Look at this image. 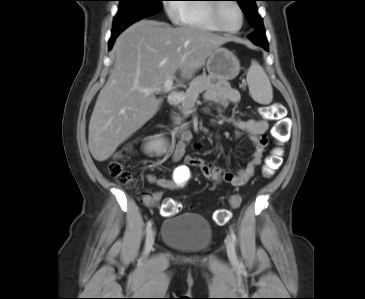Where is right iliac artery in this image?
<instances>
[{
    "mask_svg": "<svg viewBox=\"0 0 365 299\" xmlns=\"http://www.w3.org/2000/svg\"><path fill=\"white\" fill-rule=\"evenodd\" d=\"M152 227V221H149L146 226V233H148L151 230Z\"/></svg>",
    "mask_w": 365,
    "mask_h": 299,
    "instance_id": "82829eb1",
    "label": "right iliac artery"
}]
</instances>
